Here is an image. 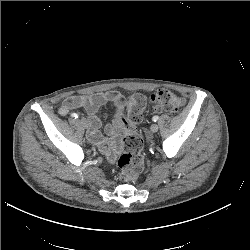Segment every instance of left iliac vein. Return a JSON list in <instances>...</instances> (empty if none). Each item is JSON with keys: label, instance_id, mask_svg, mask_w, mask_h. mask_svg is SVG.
Returning <instances> with one entry per match:
<instances>
[{"label": "left iliac vein", "instance_id": "obj_1", "mask_svg": "<svg viewBox=\"0 0 250 250\" xmlns=\"http://www.w3.org/2000/svg\"><path fill=\"white\" fill-rule=\"evenodd\" d=\"M159 129L158 125L157 124H152L151 127H150V130L155 133L157 132Z\"/></svg>", "mask_w": 250, "mask_h": 250}]
</instances>
